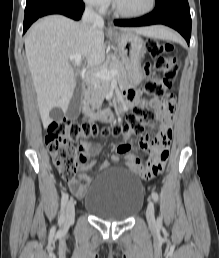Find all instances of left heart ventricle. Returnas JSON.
<instances>
[{
	"mask_svg": "<svg viewBox=\"0 0 219 258\" xmlns=\"http://www.w3.org/2000/svg\"><path fill=\"white\" fill-rule=\"evenodd\" d=\"M119 7L127 12H139L150 5V0H116Z\"/></svg>",
	"mask_w": 219,
	"mask_h": 258,
	"instance_id": "1",
	"label": "left heart ventricle"
}]
</instances>
